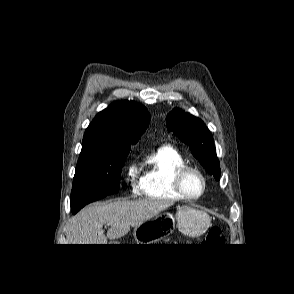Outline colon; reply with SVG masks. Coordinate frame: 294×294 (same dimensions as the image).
Returning <instances> with one entry per match:
<instances>
[{"mask_svg":"<svg viewBox=\"0 0 294 294\" xmlns=\"http://www.w3.org/2000/svg\"><path fill=\"white\" fill-rule=\"evenodd\" d=\"M204 242L206 244H218L224 243V237L219 227H212L206 234Z\"/></svg>","mask_w":294,"mask_h":294,"instance_id":"1","label":"colon"}]
</instances>
